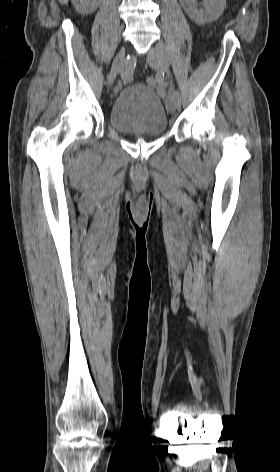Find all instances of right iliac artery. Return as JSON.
<instances>
[{"label": "right iliac artery", "instance_id": "obj_1", "mask_svg": "<svg viewBox=\"0 0 280 472\" xmlns=\"http://www.w3.org/2000/svg\"><path fill=\"white\" fill-rule=\"evenodd\" d=\"M136 58L135 57H127L125 60V70L121 74V78L124 82H128L132 79L133 72L136 66Z\"/></svg>", "mask_w": 280, "mask_h": 472}]
</instances>
